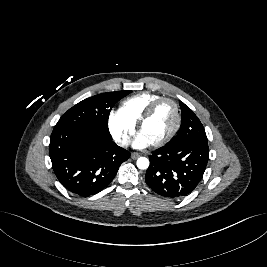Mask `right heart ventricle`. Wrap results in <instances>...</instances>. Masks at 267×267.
<instances>
[{
    "label": "right heart ventricle",
    "instance_id": "1",
    "mask_svg": "<svg viewBox=\"0 0 267 267\" xmlns=\"http://www.w3.org/2000/svg\"><path fill=\"white\" fill-rule=\"evenodd\" d=\"M159 98L161 96L155 93H140L124 100L121 110L132 123L136 124L147 108Z\"/></svg>",
    "mask_w": 267,
    "mask_h": 267
}]
</instances>
